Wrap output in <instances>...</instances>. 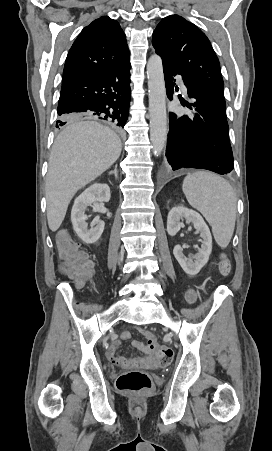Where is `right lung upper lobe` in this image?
<instances>
[{"mask_svg": "<svg viewBox=\"0 0 272 451\" xmlns=\"http://www.w3.org/2000/svg\"><path fill=\"white\" fill-rule=\"evenodd\" d=\"M129 59L126 37L119 23L108 16L85 27L66 58L62 84L101 73Z\"/></svg>", "mask_w": 272, "mask_h": 451, "instance_id": "obj_1", "label": "right lung upper lobe"}]
</instances>
